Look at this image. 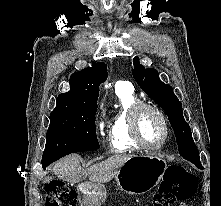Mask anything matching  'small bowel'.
<instances>
[{"instance_id":"obj_1","label":"small bowel","mask_w":221,"mask_h":206,"mask_svg":"<svg viewBox=\"0 0 221 206\" xmlns=\"http://www.w3.org/2000/svg\"><path fill=\"white\" fill-rule=\"evenodd\" d=\"M179 206H187L186 204H184V203H182V204H180Z\"/></svg>"}]
</instances>
